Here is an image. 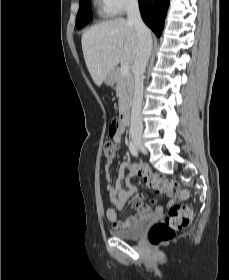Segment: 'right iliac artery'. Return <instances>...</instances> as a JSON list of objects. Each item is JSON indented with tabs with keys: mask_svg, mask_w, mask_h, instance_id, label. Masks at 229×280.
Wrapping results in <instances>:
<instances>
[{
	"mask_svg": "<svg viewBox=\"0 0 229 280\" xmlns=\"http://www.w3.org/2000/svg\"><path fill=\"white\" fill-rule=\"evenodd\" d=\"M129 150L133 156L138 157V150L131 141L129 142Z\"/></svg>",
	"mask_w": 229,
	"mask_h": 280,
	"instance_id": "obj_1",
	"label": "right iliac artery"
}]
</instances>
